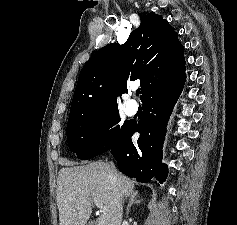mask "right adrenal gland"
<instances>
[{"label": "right adrenal gland", "instance_id": "1", "mask_svg": "<svg viewBox=\"0 0 237 225\" xmlns=\"http://www.w3.org/2000/svg\"><path fill=\"white\" fill-rule=\"evenodd\" d=\"M137 198H138V192H134L130 195L129 204L127 206V212H126L127 215L129 214L130 208L133 204L141 203V200H138Z\"/></svg>", "mask_w": 237, "mask_h": 225}]
</instances>
